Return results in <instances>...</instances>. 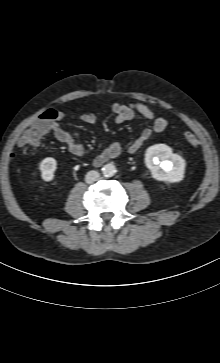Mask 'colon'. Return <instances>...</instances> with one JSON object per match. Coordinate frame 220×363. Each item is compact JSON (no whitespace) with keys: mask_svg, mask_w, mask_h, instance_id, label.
Returning <instances> with one entry per match:
<instances>
[{"mask_svg":"<svg viewBox=\"0 0 220 363\" xmlns=\"http://www.w3.org/2000/svg\"><path fill=\"white\" fill-rule=\"evenodd\" d=\"M58 118V113L54 109L44 110L30 125L27 132L24 134L26 143L33 145L39 142V140L51 129L52 124ZM185 140L190 145H197L199 140L197 136L192 132H186L184 134Z\"/></svg>","mask_w":220,"mask_h":363,"instance_id":"5ec220e1","label":"colon"}]
</instances>
